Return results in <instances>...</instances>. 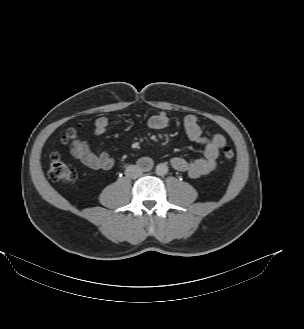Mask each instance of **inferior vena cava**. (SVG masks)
<instances>
[{"mask_svg":"<svg viewBox=\"0 0 304 329\" xmlns=\"http://www.w3.org/2000/svg\"><path fill=\"white\" fill-rule=\"evenodd\" d=\"M125 174L129 178L135 179L142 175V169L139 166L130 165L126 168Z\"/></svg>","mask_w":304,"mask_h":329,"instance_id":"obj_1","label":"inferior vena cava"}]
</instances>
